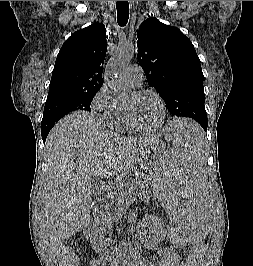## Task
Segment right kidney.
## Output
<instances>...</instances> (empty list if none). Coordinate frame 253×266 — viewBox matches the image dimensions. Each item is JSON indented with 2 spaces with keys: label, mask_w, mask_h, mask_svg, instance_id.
Instances as JSON below:
<instances>
[{
  "label": "right kidney",
  "mask_w": 253,
  "mask_h": 266,
  "mask_svg": "<svg viewBox=\"0 0 253 266\" xmlns=\"http://www.w3.org/2000/svg\"><path fill=\"white\" fill-rule=\"evenodd\" d=\"M103 236L101 234H97L94 235L90 238V244L92 245L93 248H96L97 246H99L101 244V242L99 241V239H102Z\"/></svg>",
  "instance_id": "ca27d5eb"
}]
</instances>
